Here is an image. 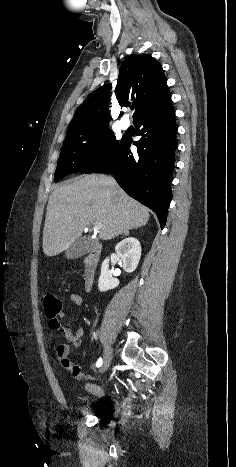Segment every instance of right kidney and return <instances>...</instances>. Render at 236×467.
Here are the masks:
<instances>
[{
  "label": "right kidney",
  "mask_w": 236,
  "mask_h": 467,
  "mask_svg": "<svg viewBox=\"0 0 236 467\" xmlns=\"http://www.w3.org/2000/svg\"><path fill=\"white\" fill-rule=\"evenodd\" d=\"M115 252L118 258L122 261L123 269L131 273L133 272L140 261L141 245L140 242L133 237H128L119 242L115 247ZM109 258H106L101 265V273L98 280V288L101 292L114 289L119 285V280L112 277L109 271ZM119 271L114 274L119 275Z\"/></svg>",
  "instance_id": "1"
}]
</instances>
